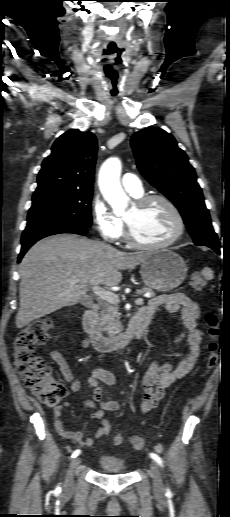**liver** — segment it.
I'll use <instances>...</instances> for the list:
<instances>
[{"mask_svg":"<svg viewBox=\"0 0 230 517\" xmlns=\"http://www.w3.org/2000/svg\"><path fill=\"white\" fill-rule=\"evenodd\" d=\"M149 253L122 252L99 241L63 234L44 238L23 257L16 327L81 302L90 286L118 285L120 270L143 263ZM71 278L79 279L70 284Z\"/></svg>","mask_w":230,"mask_h":517,"instance_id":"1","label":"liver"}]
</instances>
